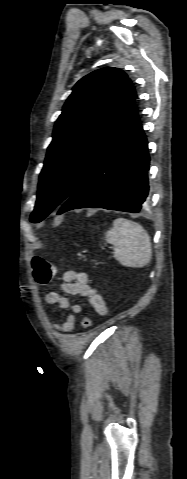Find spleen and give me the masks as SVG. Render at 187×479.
Here are the masks:
<instances>
[{
	"label": "spleen",
	"mask_w": 187,
	"mask_h": 479,
	"mask_svg": "<svg viewBox=\"0 0 187 479\" xmlns=\"http://www.w3.org/2000/svg\"><path fill=\"white\" fill-rule=\"evenodd\" d=\"M105 239L114 246V258L123 266L142 268L152 257L150 237L137 222L117 218L105 233Z\"/></svg>",
	"instance_id": "3e777b00"
}]
</instances>
